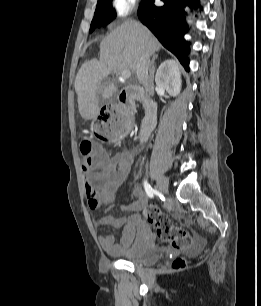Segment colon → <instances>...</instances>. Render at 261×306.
I'll return each mask as SVG.
<instances>
[{
	"instance_id": "colon-1",
	"label": "colon",
	"mask_w": 261,
	"mask_h": 306,
	"mask_svg": "<svg viewBox=\"0 0 261 306\" xmlns=\"http://www.w3.org/2000/svg\"><path fill=\"white\" fill-rule=\"evenodd\" d=\"M108 112L116 117L114 124L98 119L95 122L91 138H84L80 142L79 152L84 171L91 170L99 164L93 140L106 141L108 138L120 139L124 136L129 118L127 115L117 112L112 106L107 107ZM145 219L154 225L158 239L163 243H168L175 251H184L193 245V238L186 231L174 227L170 218L155 205L147 206L143 211ZM185 266L184 260L178 258L172 263L173 269H180Z\"/></svg>"
}]
</instances>
